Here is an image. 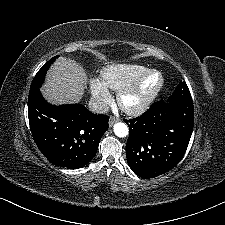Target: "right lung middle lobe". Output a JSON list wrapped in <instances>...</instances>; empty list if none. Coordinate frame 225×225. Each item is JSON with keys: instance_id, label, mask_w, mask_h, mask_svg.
<instances>
[{"instance_id": "dd1d6c3e", "label": "right lung middle lobe", "mask_w": 225, "mask_h": 225, "mask_svg": "<svg viewBox=\"0 0 225 225\" xmlns=\"http://www.w3.org/2000/svg\"><path fill=\"white\" fill-rule=\"evenodd\" d=\"M55 59H56V57H53L52 59H50L49 61H47L44 64V66L37 72V74L35 75L32 83H31L30 91L35 90L37 88H40V86L44 82V77H45V75L47 73V70L49 69V67L54 62Z\"/></svg>"}]
</instances>
